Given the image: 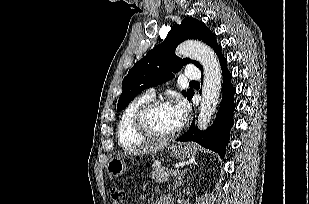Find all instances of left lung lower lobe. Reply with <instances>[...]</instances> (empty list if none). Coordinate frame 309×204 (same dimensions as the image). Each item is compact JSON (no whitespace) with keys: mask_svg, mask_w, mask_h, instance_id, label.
Wrapping results in <instances>:
<instances>
[{"mask_svg":"<svg viewBox=\"0 0 309 204\" xmlns=\"http://www.w3.org/2000/svg\"><path fill=\"white\" fill-rule=\"evenodd\" d=\"M217 56L223 73V97L216 119L213 125L204 131L198 130L195 124L192 123L189 130L176 140L180 142H197L203 147L215 151L224 157L229 141L230 129L233 125V111L235 109L233 97L236 90L231 84V73L227 69V60L222 54L221 48L217 52Z\"/></svg>","mask_w":309,"mask_h":204,"instance_id":"left-lung-lower-lobe-1","label":"left lung lower lobe"}]
</instances>
